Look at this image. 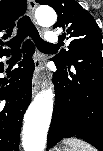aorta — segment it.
Here are the masks:
<instances>
[{
	"label": "aorta",
	"mask_w": 103,
	"mask_h": 151,
	"mask_svg": "<svg viewBox=\"0 0 103 151\" xmlns=\"http://www.w3.org/2000/svg\"><path fill=\"white\" fill-rule=\"evenodd\" d=\"M38 24L50 26L57 20L50 7H39L35 12ZM53 112V92L49 88L40 92L30 104L24 116L22 145L24 151H43Z\"/></svg>",
	"instance_id": "1"
}]
</instances>
